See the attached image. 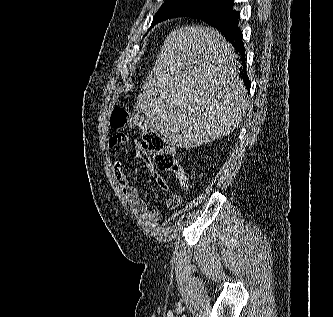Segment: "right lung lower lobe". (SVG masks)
<instances>
[{
  "instance_id": "98d812e1",
  "label": "right lung lower lobe",
  "mask_w": 333,
  "mask_h": 317,
  "mask_svg": "<svg viewBox=\"0 0 333 317\" xmlns=\"http://www.w3.org/2000/svg\"><path fill=\"white\" fill-rule=\"evenodd\" d=\"M240 13L233 10V3L228 4L218 10L203 13L201 15L193 16V18L200 19L212 27L218 29L223 36L234 46V48L241 54L242 62H245V49L242 42V32L238 27ZM244 85L250 91L251 82L245 74L243 75Z\"/></svg>"
}]
</instances>
